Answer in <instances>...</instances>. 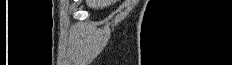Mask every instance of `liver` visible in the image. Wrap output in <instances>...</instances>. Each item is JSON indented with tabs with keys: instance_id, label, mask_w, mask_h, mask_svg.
<instances>
[{
	"instance_id": "6515ba94",
	"label": "liver",
	"mask_w": 232,
	"mask_h": 65,
	"mask_svg": "<svg viewBox=\"0 0 232 65\" xmlns=\"http://www.w3.org/2000/svg\"><path fill=\"white\" fill-rule=\"evenodd\" d=\"M116 0H86L88 7L92 9L104 8L114 4Z\"/></svg>"
}]
</instances>
